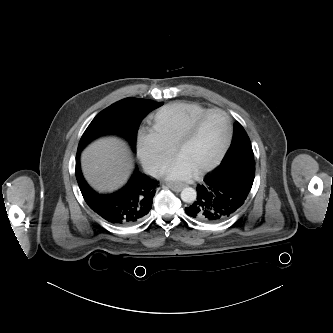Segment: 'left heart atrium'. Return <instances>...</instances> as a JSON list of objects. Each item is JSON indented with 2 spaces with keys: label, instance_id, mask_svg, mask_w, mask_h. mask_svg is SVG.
I'll use <instances>...</instances> for the list:
<instances>
[{
  "label": "left heart atrium",
  "instance_id": "1",
  "mask_svg": "<svg viewBox=\"0 0 333 333\" xmlns=\"http://www.w3.org/2000/svg\"><path fill=\"white\" fill-rule=\"evenodd\" d=\"M195 171L185 163L180 157L169 163L163 173L170 180H185L190 178Z\"/></svg>",
  "mask_w": 333,
  "mask_h": 333
}]
</instances>
